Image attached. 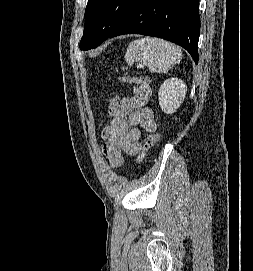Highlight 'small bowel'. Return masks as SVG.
<instances>
[{
	"instance_id": "1",
	"label": "small bowel",
	"mask_w": 253,
	"mask_h": 271,
	"mask_svg": "<svg viewBox=\"0 0 253 271\" xmlns=\"http://www.w3.org/2000/svg\"><path fill=\"white\" fill-rule=\"evenodd\" d=\"M150 97V85L136 83L131 96L110 102L109 114L112 120L103 128L102 139L103 152L112 167H120L123 164V153H140L143 131H156L154 112L147 106Z\"/></svg>"
}]
</instances>
